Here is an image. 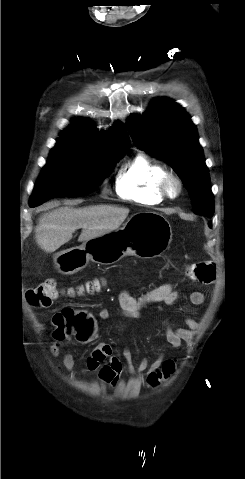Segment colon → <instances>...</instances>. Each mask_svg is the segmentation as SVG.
<instances>
[{"mask_svg":"<svg viewBox=\"0 0 245 479\" xmlns=\"http://www.w3.org/2000/svg\"><path fill=\"white\" fill-rule=\"evenodd\" d=\"M188 275L199 283L210 284L215 279L216 267L210 261H201L194 263L188 267ZM97 283H91L87 290L93 291L97 289ZM60 295L57 281L55 279H48L39 285L30 288L26 292L27 302L34 307L49 306ZM88 322L87 315L82 311L73 309H65L56 313L52 318V323L55 327L53 338L57 340H66L73 335L82 333L83 328ZM176 369V362L174 360H166L161 370L151 373L147 382L150 386L155 387L164 380L168 379Z\"/></svg>","mask_w":245,"mask_h":479,"instance_id":"1","label":"colon"}]
</instances>
